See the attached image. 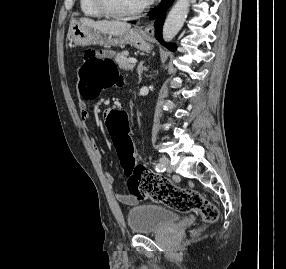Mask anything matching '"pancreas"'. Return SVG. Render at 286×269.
<instances>
[{"mask_svg": "<svg viewBox=\"0 0 286 269\" xmlns=\"http://www.w3.org/2000/svg\"><path fill=\"white\" fill-rule=\"evenodd\" d=\"M116 62L118 63L119 67L125 71H131L134 67V64L130 63L128 59V52L119 53L116 56Z\"/></svg>", "mask_w": 286, "mask_h": 269, "instance_id": "1", "label": "pancreas"}]
</instances>
